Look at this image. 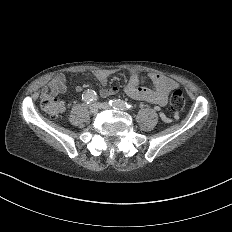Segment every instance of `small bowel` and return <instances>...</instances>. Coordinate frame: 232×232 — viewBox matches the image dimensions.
<instances>
[{
    "label": "small bowel",
    "mask_w": 232,
    "mask_h": 232,
    "mask_svg": "<svg viewBox=\"0 0 232 232\" xmlns=\"http://www.w3.org/2000/svg\"><path fill=\"white\" fill-rule=\"evenodd\" d=\"M113 71L110 69H95L94 74L98 81L102 84L108 83L109 77L112 75ZM153 87L152 88H142L139 87L141 78L137 74H133L124 88V92L127 96L142 100L146 102H155L160 105H166L168 102V92L177 87L176 82L163 75V74H153L152 75ZM78 84H85L87 81L84 78H79L73 81ZM66 86V79L63 74L55 75L45 86L42 88V92L47 94H57L61 92ZM81 88L79 87L78 90ZM113 96V92L110 90H105L101 93V98L107 99Z\"/></svg>",
    "instance_id": "obj_1"
}]
</instances>
